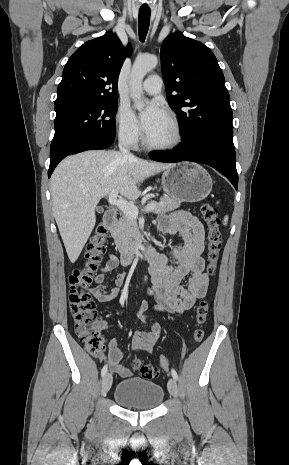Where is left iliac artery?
Instances as JSON below:
<instances>
[{"label": "left iliac artery", "mask_w": 289, "mask_h": 465, "mask_svg": "<svg viewBox=\"0 0 289 465\" xmlns=\"http://www.w3.org/2000/svg\"><path fill=\"white\" fill-rule=\"evenodd\" d=\"M171 374H172V377L175 379V380H178V375H177V372L175 369H172L171 370Z\"/></svg>", "instance_id": "44dca946"}]
</instances>
